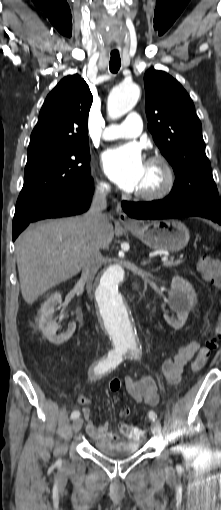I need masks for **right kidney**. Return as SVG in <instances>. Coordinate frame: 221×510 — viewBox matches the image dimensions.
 <instances>
[{"label": "right kidney", "mask_w": 221, "mask_h": 510, "mask_svg": "<svg viewBox=\"0 0 221 510\" xmlns=\"http://www.w3.org/2000/svg\"><path fill=\"white\" fill-rule=\"evenodd\" d=\"M62 298L61 294L56 292L41 305L39 327L42 330L44 336L53 344L60 345L68 341L76 329V324L73 322L69 325L66 332L57 335L58 324L54 319V311L57 305H61ZM63 317V314L60 315Z\"/></svg>", "instance_id": "1"}]
</instances>
